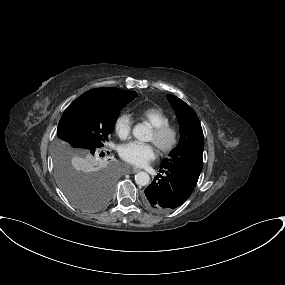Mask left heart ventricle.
<instances>
[{
	"label": "left heart ventricle",
	"mask_w": 285,
	"mask_h": 285,
	"mask_svg": "<svg viewBox=\"0 0 285 285\" xmlns=\"http://www.w3.org/2000/svg\"><path fill=\"white\" fill-rule=\"evenodd\" d=\"M150 140L154 141V134H153V132L151 133Z\"/></svg>",
	"instance_id": "1"
}]
</instances>
